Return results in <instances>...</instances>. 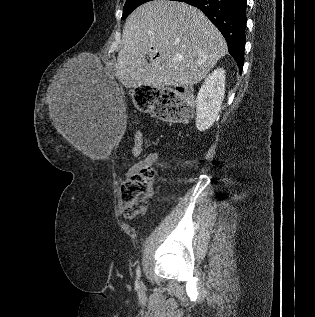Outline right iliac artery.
<instances>
[{"label":"right iliac artery","mask_w":315,"mask_h":317,"mask_svg":"<svg viewBox=\"0 0 315 317\" xmlns=\"http://www.w3.org/2000/svg\"><path fill=\"white\" fill-rule=\"evenodd\" d=\"M136 276H137V279H140L141 270H140V267H139V266H138L137 269H136Z\"/></svg>","instance_id":"obj_1"}]
</instances>
